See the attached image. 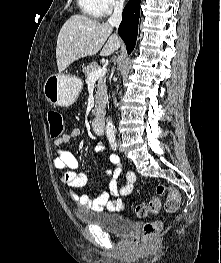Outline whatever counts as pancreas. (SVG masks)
<instances>
[{
  "instance_id": "cf45deb5",
  "label": "pancreas",
  "mask_w": 221,
  "mask_h": 263,
  "mask_svg": "<svg viewBox=\"0 0 221 263\" xmlns=\"http://www.w3.org/2000/svg\"><path fill=\"white\" fill-rule=\"evenodd\" d=\"M99 68L100 67L98 63L93 62L83 68V73L85 77L88 78V75L91 72L96 71ZM107 98L108 97H107V89H106V79L104 77H101L97 83L95 109L93 110V115L97 116L100 114V112L104 110Z\"/></svg>"
}]
</instances>
